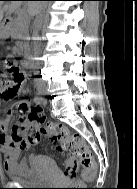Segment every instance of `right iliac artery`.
<instances>
[{
  "instance_id": "obj_1",
  "label": "right iliac artery",
  "mask_w": 137,
  "mask_h": 189,
  "mask_svg": "<svg viewBox=\"0 0 137 189\" xmlns=\"http://www.w3.org/2000/svg\"><path fill=\"white\" fill-rule=\"evenodd\" d=\"M41 101V98L39 97V98H37V102L39 103Z\"/></svg>"
}]
</instances>
